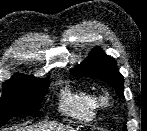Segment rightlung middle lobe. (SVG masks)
Listing matches in <instances>:
<instances>
[{"mask_svg":"<svg viewBox=\"0 0 147 131\" xmlns=\"http://www.w3.org/2000/svg\"><path fill=\"white\" fill-rule=\"evenodd\" d=\"M48 79L29 76L6 81L0 99V127L13 116L37 112L49 87Z\"/></svg>","mask_w":147,"mask_h":131,"instance_id":"dd1d6c3e","label":"right lung middle lobe"}]
</instances>
